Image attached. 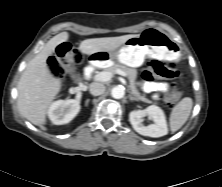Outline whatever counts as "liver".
<instances>
[{
	"instance_id": "obj_1",
	"label": "liver",
	"mask_w": 222,
	"mask_h": 187,
	"mask_svg": "<svg viewBox=\"0 0 222 187\" xmlns=\"http://www.w3.org/2000/svg\"><path fill=\"white\" fill-rule=\"evenodd\" d=\"M134 36L137 35L86 39L80 43L78 49L87 55L100 51L112 52ZM68 38L67 32L51 38L27 64L18 82L19 112L34 125L42 126L45 123L47 110L61 90V80L51 74L46 61L55 48Z\"/></svg>"
}]
</instances>
